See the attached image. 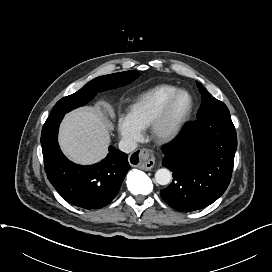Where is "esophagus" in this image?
Wrapping results in <instances>:
<instances>
[{"instance_id": "esophagus-1", "label": "esophagus", "mask_w": 272, "mask_h": 272, "mask_svg": "<svg viewBox=\"0 0 272 272\" xmlns=\"http://www.w3.org/2000/svg\"><path fill=\"white\" fill-rule=\"evenodd\" d=\"M130 161L132 164H137L140 161L138 167L148 171L155 166L156 158L152 150L143 148L140 151L132 154Z\"/></svg>"}]
</instances>
